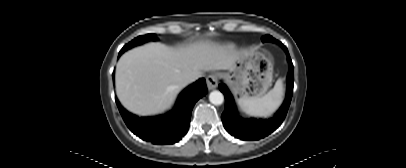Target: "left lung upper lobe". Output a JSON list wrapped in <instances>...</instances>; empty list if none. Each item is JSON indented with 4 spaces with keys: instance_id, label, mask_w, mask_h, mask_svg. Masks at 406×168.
I'll use <instances>...</instances> for the list:
<instances>
[{
    "instance_id": "5c2ea615",
    "label": "left lung upper lobe",
    "mask_w": 406,
    "mask_h": 168,
    "mask_svg": "<svg viewBox=\"0 0 406 168\" xmlns=\"http://www.w3.org/2000/svg\"><path fill=\"white\" fill-rule=\"evenodd\" d=\"M267 41L274 42V43H277V44H279V45H282V43H281L280 41L274 39V38H273L272 36H270V35H265V36L262 37V42H267Z\"/></svg>"
}]
</instances>
